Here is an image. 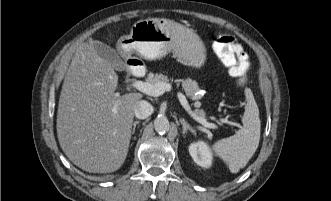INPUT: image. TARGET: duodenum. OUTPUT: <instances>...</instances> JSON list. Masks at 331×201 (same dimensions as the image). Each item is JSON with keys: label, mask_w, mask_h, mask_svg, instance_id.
Wrapping results in <instances>:
<instances>
[{"label": "duodenum", "mask_w": 331, "mask_h": 201, "mask_svg": "<svg viewBox=\"0 0 331 201\" xmlns=\"http://www.w3.org/2000/svg\"><path fill=\"white\" fill-rule=\"evenodd\" d=\"M128 64L133 76L142 77L145 74L144 63L137 57L128 60Z\"/></svg>", "instance_id": "obj_1"}]
</instances>
